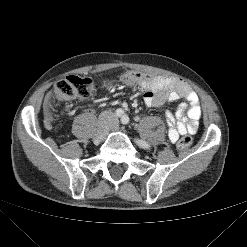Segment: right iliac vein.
Returning a JSON list of instances; mask_svg holds the SVG:
<instances>
[{
	"instance_id": "63e3f726",
	"label": "right iliac vein",
	"mask_w": 247,
	"mask_h": 247,
	"mask_svg": "<svg viewBox=\"0 0 247 247\" xmlns=\"http://www.w3.org/2000/svg\"><path fill=\"white\" fill-rule=\"evenodd\" d=\"M109 131V123L106 118H103L99 121L96 133H95V140L102 141L105 139Z\"/></svg>"
}]
</instances>
